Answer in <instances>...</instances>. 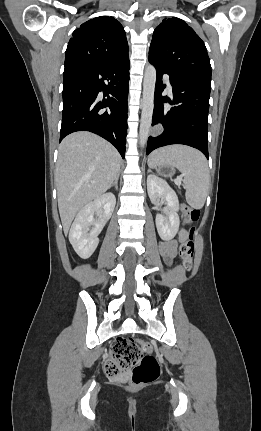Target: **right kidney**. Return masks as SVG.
<instances>
[{
    "label": "right kidney",
    "mask_w": 261,
    "mask_h": 431,
    "mask_svg": "<svg viewBox=\"0 0 261 431\" xmlns=\"http://www.w3.org/2000/svg\"><path fill=\"white\" fill-rule=\"evenodd\" d=\"M116 198L112 193L100 195L86 204L77 214L69 232V241L76 253L83 259L89 258L98 246V235L112 216ZM99 218L95 219L94 215ZM94 227L89 231V227Z\"/></svg>",
    "instance_id": "obj_1"
}]
</instances>
